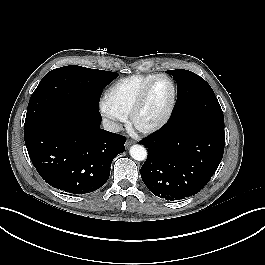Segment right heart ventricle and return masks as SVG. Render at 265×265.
<instances>
[{
	"label": "right heart ventricle",
	"mask_w": 265,
	"mask_h": 265,
	"mask_svg": "<svg viewBox=\"0 0 265 265\" xmlns=\"http://www.w3.org/2000/svg\"><path fill=\"white\" fill-rule=\"evenodd\" d=\"M155 75L139 74L118 80L107 90L105 103L122 116H129L141 91Z\"/></svg>",
	"instance_id": "obj_1"
}]
</instances>
